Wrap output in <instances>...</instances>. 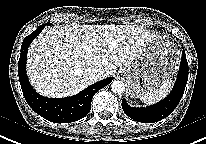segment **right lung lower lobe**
<instances>
[{
  "instance_id": "1",
  "label": "right lung lower lobe",
  "mask_w": 206,
  "mask_h": 144,
  "mask_svg": "<svg viewBox=\"0 0 206 144\" xmlns=\"http://www.w3.org/2000/svg\"><path fill=\"white\" fill-rule=\"evenodd\" d=\"M45 25L39 26L24 38L18 62L19 81L28 105L40 116L54 123H69L84 118L91 109L94 94L111 83L112 78L101 80L77 95L67 98H48L36 93L28 81L26 74L27 51L33 39L39 35Z\"/></svg>"
}]
</instances>
